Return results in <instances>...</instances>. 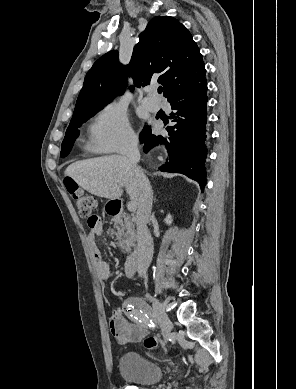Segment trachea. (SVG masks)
Listing matches in <instances>:
<instances>
[{
    "mask_svg": "<svg viewBox=\"0 0 296 389\" xmlns=\"http://www.w3.org/2000/svg\"><path fill=\"white\" fill-rule=\"evenodd\" d=\"M162 90H163L162 87H159V88H158V93L161 94V93H162Z\"/></svg>",
    "mask_w": 296,
    "mask_h": 389,
    "instance_id": "obj_1",
    "label": "trachea"
}]
</instances>
